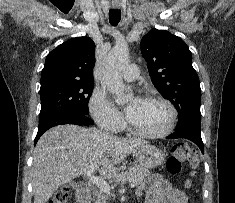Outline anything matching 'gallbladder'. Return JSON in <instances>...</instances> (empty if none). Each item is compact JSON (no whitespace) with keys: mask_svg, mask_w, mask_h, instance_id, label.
Masks as SVG:
<instances>
[{"mask_svg":"<svg viewBox=\"0 0 235 203\" xmlns=\"http://www.w3.org/2000/svg\"><path fill=\"white\" fill-rule=\"evenodd\" d=\"M69 184H70V186H72L73 188L79 187V184H78L77 182H75V181H71Z\"/></svg>","mask_w":235,"mask_h":203,"instance_id":"obj_1","label":"gallbladder"}]
</instances>
